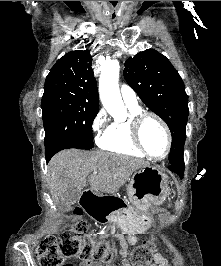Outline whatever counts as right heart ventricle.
<instances>
[{
  "label": "right heart ventricle",
  "mask_w": 221,
  "mask_h": 266,
  "mask_svg": "<svg viewBox=\"0 0 221 266\" xmlns=\"http://www.w3.org/2000/svg\"><path fill=\"white\" fill-rule=\"evenodd\" d=\"M130 117L138 112V108H130ZM130 119V118H129ZM129 119L126 121H114L108 125L104 133L98 140V145L101 149L133 156L143 157L144 154L135 146L131 138Z\"/></svg>",
  "instance_id": "right-heart-ventricle-1"
}]
</instances>
